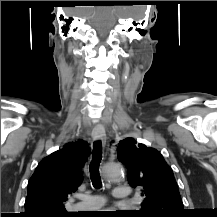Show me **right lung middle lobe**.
<instances>
[{"mask_svg": "<svg viewBox=\"0 0 217 217\" xmlns=\"http://www.w3.org/2000/svg\"><path fill=\"white\" fill-rule=\"evenodd\" d=\"M55 217H69V216H65V215H56Z\"/></svg>", "mask_w": 217, "mask_h": 217, "instance_id": "1", "label": "right lung middle lobe"}]
</instances>
